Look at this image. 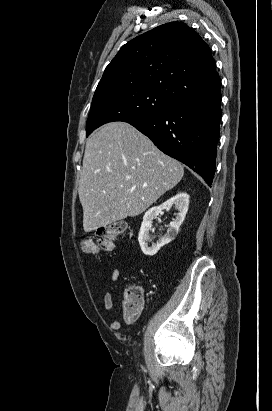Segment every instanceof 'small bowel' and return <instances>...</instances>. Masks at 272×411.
<instances>
[{
    "label": "small bowel",
    "instance_id": "obj_1",
    "mask_svg": "<svg viewBox=\"0 0 272 411\" xmlns=\"http://www.w3.org/2000/svg\"><path fill=\"white\" fill-rule=\"evenodd\" d=\"M119 277H120V271L118 269L112 270L111 275H110L111 283H116L119 280ZM103 304L107 311L113 310V299H112L111 293L108 290H105V292L103 293ZM109 326L112 330L119 329L121 326V322L119 318L115 316L113 320L110 322ZM125 331L128 332L130 331V329H126Z\"/></svg>",
    "mask_w": 272,
    "mask_h": 411
}]
</instances>
